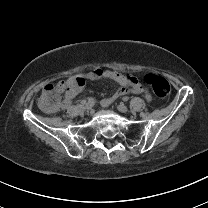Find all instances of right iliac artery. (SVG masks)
Here are the masks:
<instances>
[{
	"label": "right iliac artery",
	"instance_id": "1",
	"mask_svg": "<svg viewBox=\"0 0 208 208\" xmlns=\"http://www.w3.org/2000/svg\"><path fill=\"white\" fill-rule=\"evenodd\" d=\"M88 103H92V104H94V103H95L94 98H92V97L88 98Z\"/></svg>",
	"mask_w": 208,
	"mask_h": 208
}]
</instances>
